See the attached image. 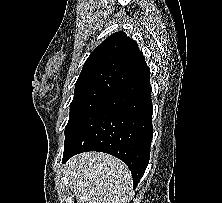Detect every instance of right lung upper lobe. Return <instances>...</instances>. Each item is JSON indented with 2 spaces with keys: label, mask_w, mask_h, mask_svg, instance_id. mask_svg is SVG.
<instances>
[{
  "label": "right lung upper lobe",
  "mask_w": 222,
  "mask_h": 203,
  "mask_svg": "<svg viewBox=\"0 0 222 203\" xmlns=\"http://www.w3.org/2000/svg\"><path fill=\"white\" fill-rule=\"evenodd\" d=\"M147 68L137 43L126 33L116 32L87 58L76 81L75 91L101 89L114 93Z\"/></svg>",
  "instance_id": "obj_1"
}]
</instances>
